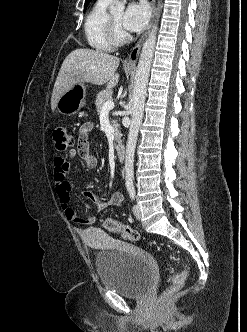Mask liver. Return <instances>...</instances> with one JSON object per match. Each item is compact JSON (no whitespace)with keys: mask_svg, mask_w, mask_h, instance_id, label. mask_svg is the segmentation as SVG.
Returning a JSON list of instances; mask_svg holds the SVG:
<instances>
[{"mask_svg":"<svg viewBox=\"0 0 247 332\" xmlns=\"http://www.w3.org/2000/svg\"><path fill=\"white\" fill-rule=\"evenodd\" d=\"M119 58L108 53L92 49H76L62 63L54 84L51 97V109L54 111L59 97L76 83H92L114 88L119 81L116 69Z\"/></svg>","mask_w":247,"mask_h":332,"instance_id":"liver-1","label":"liver"}]
</instances>
